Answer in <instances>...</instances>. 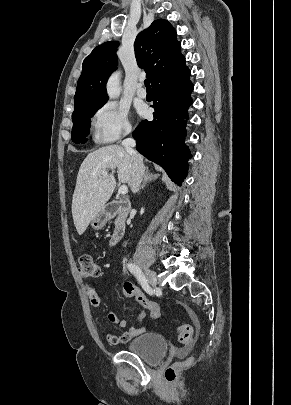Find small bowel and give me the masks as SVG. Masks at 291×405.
Segmentation results:
<instances>
[{"mask_svg":"<svg viewBox=\"0 0 291 405\" xmlns=\"http://www.w3.org/2000/svg\"><path fill=\"white\" fill-rule=\"evenodd\" d=\"M87 290H88V296H89V299H90L92 305L98 306L100 303V298H99V295L96 292L95 288L93 287V285L88 284ZM185 310H186L189 318L191 319L192 323L194 324V326L198 327L199 322H198V319H197V316L195 315V313L191 309L186 308V307H185ZM145 317H146V312L144 310H141L138 313V318L142 320ZM106 318H107L108 323H110L112 325H116L121 328H124L126 326V321L118 318L116 316V314L112 311L108 312ZM145 331H146L145 328L133 327V328L129 329L128 331L123 332L120 335L106 334V339L111 345H118V344L129 342L131 339L135 338L136 336L142 334Z\"/></svg>","mask_w":291,"mask_h":405,"instance_id":"c3829d8e","label":"small bowel"}]
</instances>
